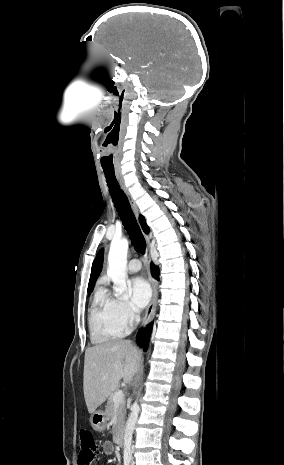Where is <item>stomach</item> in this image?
<instances>
[{"instance_id":"obj_1","label":"stomach","mask_w":284,"mask_h":465,"mask_svg":"<svg viewBox=\"0 0 284 465\" xmlns=\"http://www.w3.org/2000/svg\"><path fill=\"white\" fill-rule=\"evenodd\" d=\"M90 423L94 431H98V433H103L107 425V419L105 417L104 411H95V413H91Z\"/></svg>"}]
</instances>
